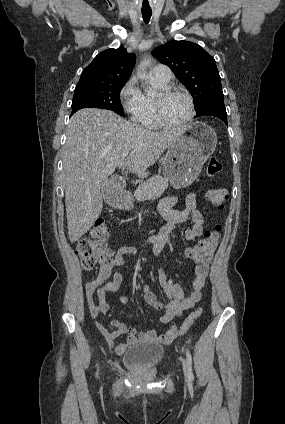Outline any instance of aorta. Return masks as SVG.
<instances>
[{
	"mask_svg": "<svg viewBox=\"0 0 285 424\" xmlns=\"http://www.w3.org/2000/svg\"><path fill=\"white\" fill-rule=\"evenodd\" d=\"M150 65V61L149 60H143L141 61L140 65H139V74L138 76L142 79H147L148 76L146 74V69L147 67ZM147 93L150 94L152 93V89L149 88V90H147Z\"/></svg>",
	"mask_w": 285,
	"mask_h": 424,
	"instance_id": "obj_1",
	"label": "aorta"
}]
</instances>
